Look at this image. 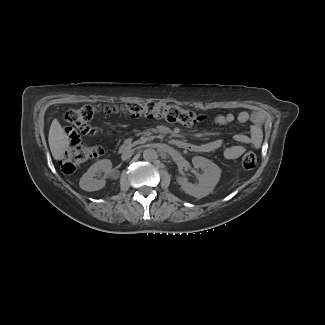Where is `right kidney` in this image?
<instances>
[{"label":"right kidney","mask_w":325,"mask_h":325,"mask_svg":"<svg viewBox=\"0 0 325 325\" xmlns=\"http://www.w3.org/2000/svg\"><path fill=\"white\" fill-rule=\"evenodd\" d=\"M111 169L112 163L110 160L103 159L97 161L80 178V188L89 192L102 189L106 183L105 176L111 172ZM102 172L105 173L104 177L101 175Z\"/></svg>","instance_id":"obj_1"}]
</instances>
